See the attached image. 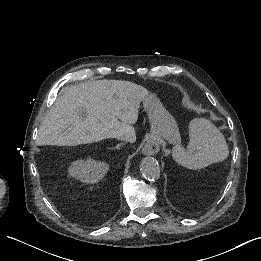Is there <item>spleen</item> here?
<instances>
[{
  "instance_id": "obj_1",
  "label": "spleen",
  "mask_w": 261,
  "mask_h": 261,
  "mask_svg": "<svg viewBox=\"0 0 261 261\" xmlns=\"http://www.w3.org/2000/svg\"><path fill=\"white\" fill-rule=\"evenodd\" d=\"M189 141L181 148L177 162L189 169H201L228 157L223 135L208 120L193 119L187 126ZM180 147V146H178Z\"/></svg>"
}]
</instances>
